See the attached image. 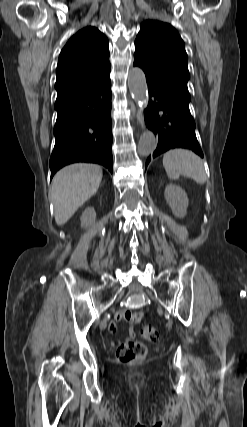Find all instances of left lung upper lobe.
<instances>
[{
    "label": "left lung upper lobe",
    "instance_id": "obj_1",
    "mask_svg": "<svg viewBox=\"0 0 247 427\" xmlns=\"http://www.w3.org/2000/svg\"><path fill=\"white\" fill-rule=\"evenodd\" d=\"M187 61L184 42L175 28L157 20L141 24L135 40L134 66L143 69L146 79L190 102Z\"/></svg>",
    "mask_w": 247,
    "mask_h": 427
}]
</instances>
